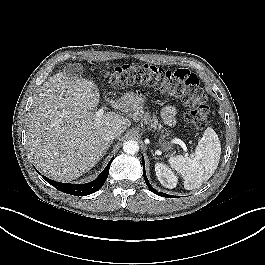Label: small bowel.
<instances>
[{"label": "small bowel", "instance_id": "c3829d8e", "mask_svg": "<svg viewBox=\"0 0 265 265\" xmlns=\"http://www.w3.org/2000/svg\"><path fill=\"white\" fill-rule=\"evenodd\" d=\"M163 119L165 121L166 124L168 125H172L175 122V109L172 106H168L163 110Z\"/></svg>", "mask_w": 265, "mask_h": 265}]
</instances>
